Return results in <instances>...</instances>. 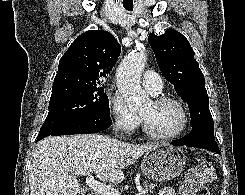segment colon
Here are the masks:
<instances>
[{"instance_id":"1","label":"colon","mask_w":245,"mask_h":195,"mask_svg":"<svg viewBox=\"0 0 245 195\" xmlns=\"http://www.w3.org/2000/svg\"><path fill=\"white\" fill-rule=\"evenodd\" d=\"M216 179L213 162L205 161L186 173L180 186V195H208L207 183Z\"/></svg>"}]
</instances>
